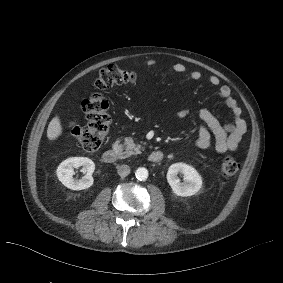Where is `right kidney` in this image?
Returning <instances> with one entry per match:
<instances>
[{"label": "right kidney", "instance_id": "right-kidney-1", "mask_svg": "<svg viewBox=\"0 0 283 283\" xmlns=\"http://www.w3.org/2000/svg\"><path fill=\"white\" fill-rule=\"evenodd\" d=\"M82 167V171L86 173L81 179H74V168ZM95 164L87 157H71L63 162L57 168V177L61 183L72 190H83L89 188L93 184L92 173Z\"/></svg>", "mask_w": 283, "mask_h": 283}]
</instances>
